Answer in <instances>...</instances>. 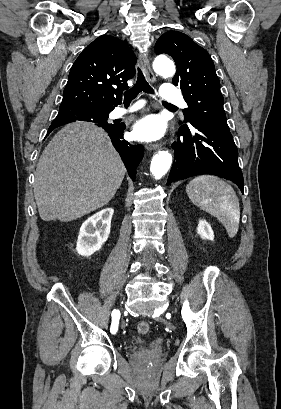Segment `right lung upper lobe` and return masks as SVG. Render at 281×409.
Listing matches in <instances>:
<instances>
[{
    "mask_svg": "<svg viewBox=\"0 0 281 409\" xmlns=\"http://www.w3.org/2000/svg\"><path fill=\"white\" fill-rule=\"evenodd\" d=\"M135 63L133 51L123 41L111 35L98 37L74 62L60 109L112 111L129 88Z\"/></svg>",
    "mask_w": 281,
    "mask_h": 409,
    "instance_id": "right-lung-upper-lobe-1",
    "label": "right lung upper lobe"
}]
</instances>
